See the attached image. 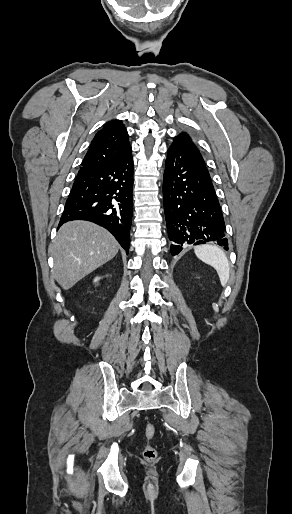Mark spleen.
I'll list each match as a JSON object with an SVG mask.
<instances>
[{
    "label": "spleen",
    "mask_w": 292,
    "mask_h": 514,
    "mask_svg": "<svg viewBox=\"0 0 292 514\" xmlns=\"http://www.w3.org/2000/svg\"><path fill=\"white\" fill-rule=\"evenodd\" d=\"M194 252L202 262L205 264H209V266H213L215 268L222 286H226L229 280V262L226 258V254H224L221 248L218 246H209V244H204V246H195Z\"/></svg>",
    "instance_id": "obj_1"
}]
</instances>
